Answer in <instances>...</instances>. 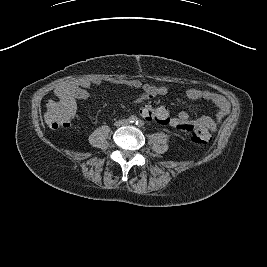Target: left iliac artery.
<instances>
[{"mask_svg": "<svg viewBox=\"0 0 267 267\" xmlns=\"http://www.w3.org/2000/svg\"><path fill=\"white\" fill-rule=\"evenodd\" d=\"M143 124H144V122H143L142 120H138V121L136 122V125H137L138 127H141Z\"/></svg>", "mask_w": 267, "mask_h": 267, "instance_id": "1", "label": "left iliac artery"}]
</instances>
